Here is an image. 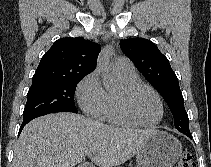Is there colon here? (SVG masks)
Listing matches in <instances>:
<instances>
[{"label":"colon","mask_w":211,"mask_h":167,"mask_svg":"<svg viewBox=\"0 0 211 167\" xmlns=\"http://www.w3.org/2000/svg\"><path fill=\"white\" fill-rule=\"evenodd\" d=\"M175 167H196L192 156L189 153H185L179 159Z\"/></svg>","instance_id":"obj_1"}]
</instances>
